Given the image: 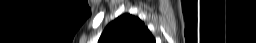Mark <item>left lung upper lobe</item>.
I'll use <instances>...</instances> for the list:
<instances>
[{
	"label": "left lung upper lobe",
	"mask_w": 256,
	"mask_h": 43,
	"mask_svg": "<svg viewBox=\"0 0 256 43\" xmlns=\"http://www.w3.org/2000/svg\"><path fill=\"white\" fill-rule=\"evenodd\" d=\"M98 43H155V39L138 17L123 14L108 24Z\"/></svg>",
	"instance_id": "left-lung-upper-lobe-1"
}]
</instances>
